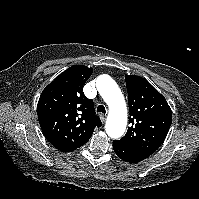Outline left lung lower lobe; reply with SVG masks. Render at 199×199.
<instances>
[{
  "instance_id": "1",
  "label": "left lung lower lobe",
  "mask_w": 199,
  "mask_h": 199,
  "mask_svg": "<svg viewBox=\"0 0 199 199\" xmlns=\"http://www.w3.org/2000/svg\"><path fill=\"white\" fill-rule=\"evenodd\" d=\"M113 149L123 161L129 163H137L147 158L146 156L130 149L125 144L118 141H113Z\"/></svg>"
}]
</instances>
